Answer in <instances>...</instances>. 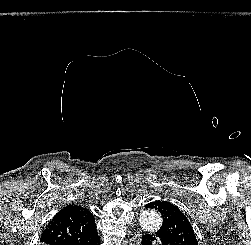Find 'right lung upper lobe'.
<instances>
[{"label": "right lung upper lobe", "instance_id": "obj_1", "mask_svg": "<svg viewBox=\"0 0 251 245\" xmlns=\"http://www.w3.org/2000/svg\"><path fill=\"white\" fill-rule=\"evenodd\" d=\"M97 234L92 213L78 205L59 211L42 233V245H60L68 241L91 238Z\"/></svg>", "mask_w": 251, "mask_h": 245}]
</instances>
